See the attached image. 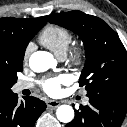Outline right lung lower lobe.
Masks as SVG:
<instances>
[{"label":"right lung lower lobe","mask_w":127,"mask_h":127,"mask_svg":"<svg viewBox=\"0 0 127 127\" xmlns=\"http://www.w3.org/2000/svg\"><path fill=\"white\" fill-rule=\"evenodd\" d=\"M24 99L25 102H18L13 92L0 99V127H34L46 104L35 97Z\"/></svg>","instance_id":"1"}]
</instances>
